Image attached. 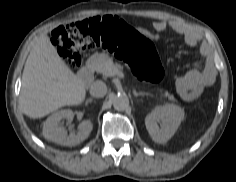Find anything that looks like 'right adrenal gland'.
<instances>
[{"label": "right adrenal gland", "instance_id": "1", "mask_svg": "<svg viewBox=\"0 0 236 182\" xmlns=\"http://www.w3.org/2000/svg\"><path fill=\"white\" fill-rule=\"evenodd\" d=\"M89 102H93V100H92V99H90V100H89Z\"/></svg>", "mask_w": 236, "mask_h": 182}]
</instances>
